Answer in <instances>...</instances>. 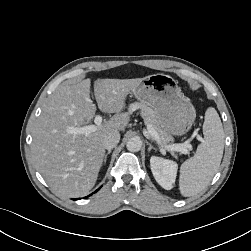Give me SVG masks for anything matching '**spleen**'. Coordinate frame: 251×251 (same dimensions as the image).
Masks as SVG:
<instances>
[{
  "mask_svg": "<svg viewBox=\"0 0 251 251\" xmlns=\"http://www.w3.org/2000/svg\"><path fill=\"white\" fill-rule=\"evenodd\" d=\"M204 140L196 154L180 167L179 189L184 197L201 193L219 169L224 149V131L221 119L213 107L205 112Z\"/></svg>",
  "mask_w": 251,
  "mask_h": 251,
  "instance_id": "3e777b00",
  "label": "spleen"
}]
</instances>
